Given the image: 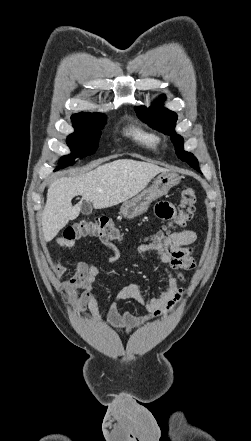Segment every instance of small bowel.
Returning a JSON list of instances; mask_svg holds the SVG:
<instances>
[{"instance_id": "obj_1", "label": "small bowel", "mask_w": 251, "mask_h": 441, "mask_svg": "<svg viewBox=\"0 0 251 441\" xmlns=\"http://www.w3.org/2000/svg\"><path fill=\"white\" fill-rule=\"evenodd\" d=\"M155 211L157 216L162 219H172L175 216L174 207L168 202L157 204ZM196 240L197 233L195 231L183 230L171 234L162 243L140 244L136 250L137 254L153 256L164 266L167 286L158 295L150 298L143 297L140 286L136 283L123 287L116 293L114 299L134 300L143 307L147 314L136 316L129 311H123L114 301L109 305L106 313L108 324L114 328H125L132 331L153 318L173 310L184 293V288L180 285L184 281L182 271L193 270L196 267V261L190 248ZM58 244L66 251L75 249L73 241L60 240ZM118 259L119 254L114 250L106 258V261L114 263ZM53 271L58 276L70 274V277L65 281L64 288L66 293L73 298L76 312L81 317L90 316L95 321L103 323L105 319L95 297V285L100 275L97 263L95 261H79L73 267H68L55 260Z\"/></svg>"}]
</instances>
